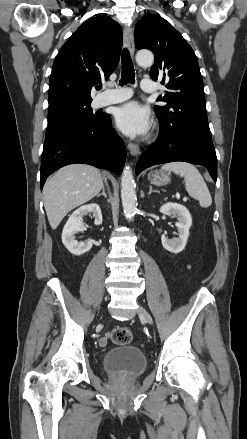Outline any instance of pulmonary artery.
I'll use <instances>...</instances> for the list:
<instances>
[{
    "instance_id": "1",
    "label": "pulmonary artery",
    "mask_w": 247,
    "mask_h": 439,
    "mask_svg": "<svg viewBox=\"0 0 247 439\" xmlns=\"http://www.w3.org/2000/svg\"><path fill=\"white\" fill-rule=\"evenodd\" d=\"M141 88L146 93H154L156 91V83L148 78L141 82ZM131 96V91L128 89H115L110 93L103 95L97 101L99 106H106L127 100Z\"/></svg>"
}]
</instances>
